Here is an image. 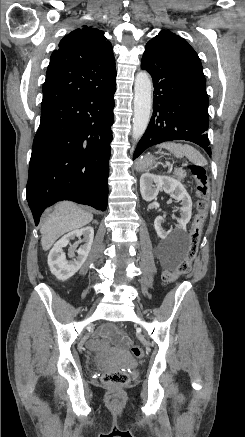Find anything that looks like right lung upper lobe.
Returning a JSON list of instances; mask_svg holds the SVG:
<instances>
[{
    "label": "right lung upper lobe",
    "mask_w": 245,
    "mask_h": 437,
    "mask_svg": "<svg viewBox=\"0 0 245 437\" xmlns=\"http://www.w3.org/2000/svg\"><path fill=\"white\" fill-rule=\"evenodd\" d=\"M115 79L111 43L103 31L83 25L66 35L51 55L43 85L41 111L62 100L100 90Z\"/></svg>",
    "instance_id": "1"
}]
</instances>
